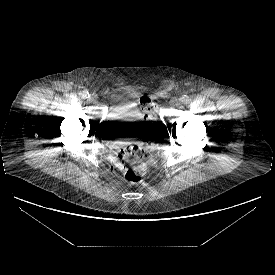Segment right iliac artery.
<instances>
[{
	"label": "right iliac artery",
	"mask_w": 275,
	"mask_h": 275,
	"mask_svg": "<svg viewBox=\"0 0 275 275\" xmlns=\"http://www.w3.org/2000/svg\"><path fill=\"white\" fill-rule=\"evenodd\" d=\"M80 96L83 98V99H86L89 97V93L88 91L84 90L80 93Z\"/></svg>",
	"instance_id": "1"
}]
</instances>
